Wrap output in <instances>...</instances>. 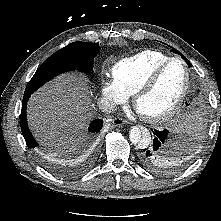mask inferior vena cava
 Wrapping results in <instances>:
<instances>
[{
	"label": "inferior vena cava",
	"instance_id": "obj_1",
	"mask_svg": "<svg viewBox=\"0 0 221 221\" xmlns=\"http://www.w3.org/2000/svg\"><path fill=\"white\" fill-rule=\"evenodd\" d=\"M98 106L100 110L104 113H111L117 110L116 105L113 102L108 101L106 99H101L98 102Z\"/></svg>",
	"mask_w": 221,
	"mask_h": 221
}]
</instances>
